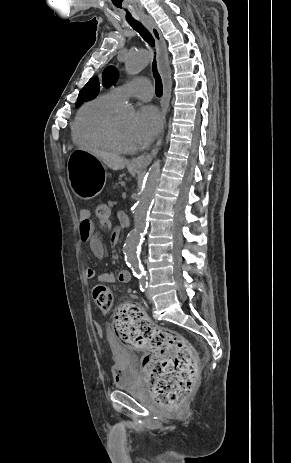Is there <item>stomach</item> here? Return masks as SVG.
<instances>
[{
  "label": "stomach",
  "instance_id": "obj_1",
  "mask_svg": "<svg viewBox=\"0 0 291 463\" xmlns=\"http://www.w3.org/2000/svg\"><path fill=\"white\" fill-rule=\"evenodd\" d=\"M104 168L93 154L76 149L69 155L67 175L74 194L84 200L97 196L104 183Z\"/></svg>",
  "mask_w": 291,
  "mask_h": 463
}]
</instances>
